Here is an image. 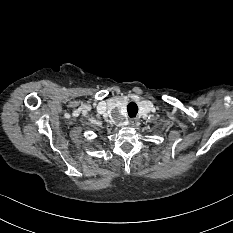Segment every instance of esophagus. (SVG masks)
<instances>
[{"instance_id":"obj_1","label":"esophagus","mask_w":233,"mask_h":233,"mask_svg":"<svg viewBox=\"0 0 233 233\" xmlns=\"http://www.w3.org/2000/svg\"><path fill=\"white\" fill-rule=\"evenodd\" d=\"M136 122H137V120L135 118L130 119V124L131 125H134Z\"/></svg>"}]
</instances>
